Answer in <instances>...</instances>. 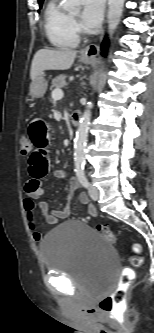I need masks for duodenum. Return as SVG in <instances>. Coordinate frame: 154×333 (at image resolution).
<instances>
[{"instance_id": "410a0bca", "label": "duodenum", "mask_w": 154, "mask_h": 333, "mask_svg": "<svg viewBox=\"0 0 154 333\" xmlns=\"http://www.w3.org/2000/svg\"><path fill=\"white\" fill-rule=\"evenodd\" d=\"M81 119V111L74 110L71 112L70 121L73 126H78Z\"/></svg>"}]
</instances>
